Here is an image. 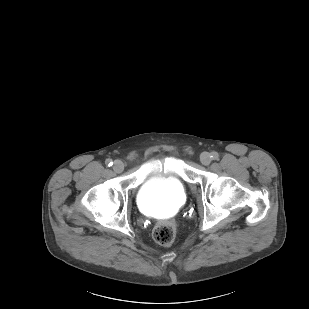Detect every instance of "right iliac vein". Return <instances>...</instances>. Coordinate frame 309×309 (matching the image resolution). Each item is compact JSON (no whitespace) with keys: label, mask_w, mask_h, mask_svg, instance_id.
Returning <instances> with one entry per match:
<instances>
[{"label":"right iliac vein","mask_w":309,"mask_h":309,"mask_svg":"<svg viewBox=\"0 0 309 309\" xmlns=\"http://www.w3.org/2000/svg\"><path fill=\"white\" fill-rule=\"evenodd\" d=\"M113 170L117 173H121L124 170V163L120 160H116L113 164Z\"/></svg>","instance_id":"right-iliac-vein-1"}]
</instances>
